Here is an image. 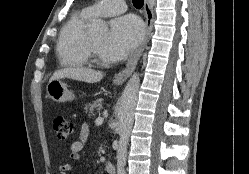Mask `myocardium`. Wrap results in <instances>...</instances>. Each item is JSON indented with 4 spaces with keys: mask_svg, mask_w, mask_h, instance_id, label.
Returning <instances> with one entry per match:
<instances>
[{
    "mask_svg": "<svg viewBox=\"0 0 249 174\" xmlns=\"http://www.w3.org/2000/svg\"><path fill=\"white\" fill-rule=\"evenodd\" d=\"M87 52H88V55H89V58L96 64L98 65H106L107 62L102 60L97 52H96V48L94 46V43L92 41V38L89 36L88 37V41H87Z\"/></svg>",
    "mask_w": 249,
    "mask_h": 174,
    "instance_id": "obj_1",
    "label": "myocardium"
}]
</instances>
